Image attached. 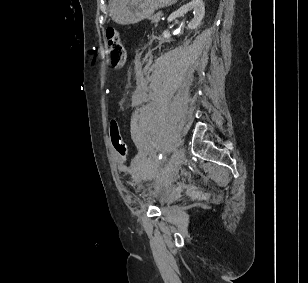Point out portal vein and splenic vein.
Returning a JSON list of instances; mask_svg holds the SVG:
<instances>
[{"label":"portal vein and splenic vein","instance_id":"18ae733b","mask_svg":"<svg viewBox=\"0 0 308 283\" xmlns=\"http://www.w3.org/2000/svg\"><path fill=\"white\" fill-rule=\"evenodd\" d=\"M159 16H163V13H162V12H160V13H159Z\"/></svg>","mask_w":308,"mask_h":283}]
</instances>
